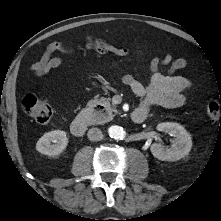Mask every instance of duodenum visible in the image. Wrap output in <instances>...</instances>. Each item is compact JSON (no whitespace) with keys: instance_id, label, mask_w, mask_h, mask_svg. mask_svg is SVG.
Returning <instances> with one entry per match:
<instances>
[{"instance_id":"410a0bca","label":"duodenum","mask_w":221,"mask_h":221,"mask_svg":"<svg viewBox=\"0 0 221 221\" xmlns=\"http://www.w3.org/2000/svg\"><path fill=\"white\" fill-rule=\"evenodd\" d=\"M131 120L134 123H142L146 117L147 112L143 109L134 110L131 113ZM87 130V121L83 115H79L71 124V131L75 136H82Z\"/></svg>"}]
</instances>
